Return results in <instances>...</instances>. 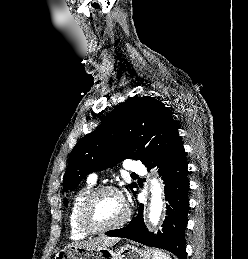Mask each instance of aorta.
Here are the masks:
<instances>
[{"mask_svg":"<svg viewBox=\"0 0 248 259\" xmlns=\"http://www.w3.org/2000/svg\"><path fill=\"white\" fill-rule=\"evenodd\" d=\"M153 186V198L150 205L149 221L153 226H156L164 208V191L162 185L156 180L151 181Z\"/></svg>","mask_w":248,"mask_h":259,"instance_id":"762f6f07","label":"aorta"}]
</instances>
